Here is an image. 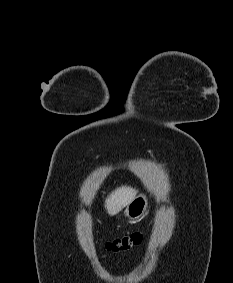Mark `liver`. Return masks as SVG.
I'll list each match as a JSON object with an SVG mask.
<instances>
[{"label": "liver", "instance_id": "1", "mask_svg": "<svg viewBox=\"0 0 233 283\" xmlns=\"http://www.w3.org/2000/svg\"><path fill=\"white\" fill-rule=\"evenodd\" d=\"M138 191L129 186L116 188L105 200V208L109 215L113 216L126 207L135 197Z\"/></svg>", "mask_w": 233, "mask_h": 283}]
</instances>
